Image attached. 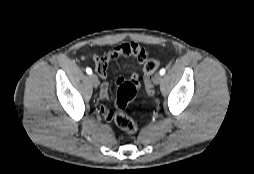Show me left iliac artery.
Instances as JSON below:
<instances>
[{
	"label": "left iliac artery",
	"instance_id": "obj_1",
	"mask_svg": "<svg viewBox=\"0 0 254 174\" xmlns=\"http://www.w3.org/2000/svg\"><path fill=\"white\" fill-rule=\"evenodd\" d=\"M165 72H166V70H165L164 68H162V69L160 70V74H161V75H164Z\"/></svg>",
	"mask_w": 254,
	"mask_h": 174
}]
</instances>
